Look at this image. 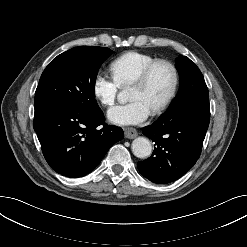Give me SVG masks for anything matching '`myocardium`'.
<instances>
[{
	"mask_svg": "<svg viewBox=\"0 0 247 247\" xmlns=\"http://www.w3.org/2000/svg\"><path fill=\"white\" fill-rule=\"evenodd\" d=\"M160 66H165L169 68L172 74V82L171 86L169 88L168 93L164 97V99L157 104L153 109L152 112L158 113L161 110L165 109L169 103L172 101V99L175 97L178 84H179V75L176 66L167 60H156L149 64L140 74L139 76L127 87L128 89L131 88H140L143 87L147 81L149 80L151 74L153 71Z\"/></svg>",
	"mask_w": 247,
	"mask_h": 247,
	"instance_id": "1",
	"label": "myocardium"
}]
</instances>
